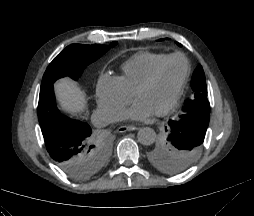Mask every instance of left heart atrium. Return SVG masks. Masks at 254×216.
Masks as SVG:
<instances>
[{
    "label": "left heart atrium",
    "mask_w": 254,
    "mask_h": 216,
    "mask_svg": "<svg viewBox=\"0 0 254 216\" xmlns=\"http://www.w3.org/2000/svg\"><path fill=\"white\" fill-rule=\"evenodd\" d=\"M155 114V111L145 102L137 100L126 112L125 116L134 121H145Z\"/></svg>",
    "instance_id": "39dd6f15"
}]
</instances>
